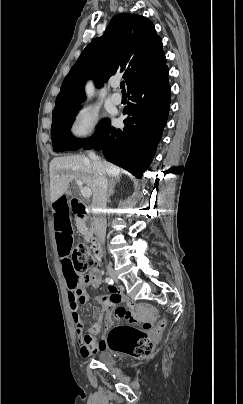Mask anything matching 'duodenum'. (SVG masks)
Listing matches in <instances>:
<instances>
[{
    "mask_svg": "<svg viewBox=\"0 0 243 404\" xmlns=\"http://www.w3.org/2000/svg\"><path fill=\"white\" fill-rule=\"evenodd\" d=\"M71 209L73 213L79 217H83V215L86 213V206L79 199L76 198L72 199L71 201ZM92 249L95 257L97 259H101L103 256V251L98 240L94 239L92 241Z\"/></svg>",
    "mask_w": 243,
    "mask_h": 404,
    "instance_id": "obj_1",
    "label": "duodenum"
}]
</instances>
